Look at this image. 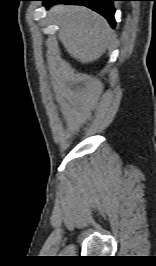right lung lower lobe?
<instances>
[{"label":"right lung lower lobe","mask_w":156,"mask_h":266,"mask_svg":"<svg viewBox=\"0 0 156 266\" xmlns=\"http://www.w3.org/2000/svg\"><path fill=\"white\" fill-rule=\"evenodd\" d=\"M44 5L50 6L57 3L84 5L103 15L112 27H115L114 7L115 0H40Z\"/></svg>","instance_id":"98d812e1"}]
</instances>
